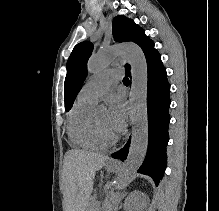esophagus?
Returning <instances> with one entry per match:
<instances>
[{"label":"esophagus","instance_id":"1","mask_svg":"<svg viewBox=\"0 0 219 211\" xmlns=\"http://www.w3.org/2000/svg\"><path fill=\"white\" fill-rule=\"evenodd\" d=\"M120 60H121V64H122V65H124V64L126 63V60H124V58L121 57ZM113 163H115V164H119V163L116 162V161L113 162Z\"/></svg>","mask_w":219,"mask_h":211}]
</instances>
